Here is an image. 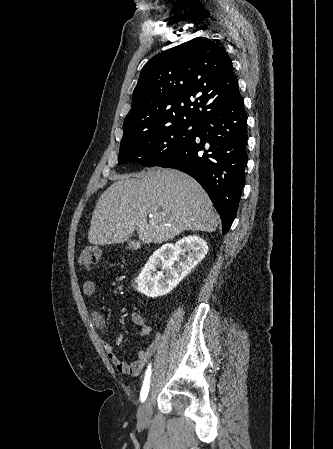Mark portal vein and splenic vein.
I'll return each instance as SVG.
<instances>
[{"label": "portal vein and splenic vein", "mask_w": 333, "mask_h": 449, "mask_svg": "<svg viewBox=\"0 0 333 449\" xmlns=\"http://www.w3.org/2000/svg\"><path fill=\"white\" fill-rule=\"evenodd\" d=\"M154 217V215L153 214H149V218H153Z\"/></svg>", "instance_id": "obj_1"}]
</instances>
